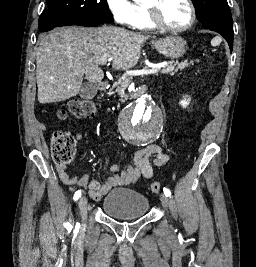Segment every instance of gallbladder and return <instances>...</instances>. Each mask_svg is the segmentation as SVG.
<instances>
[{"label":"gallbladder","instance_id":"bac80fb5","mask_svg":"<svg viewBox=\"0 0 256 267\" xmlns=\"http://www.w3.org/2000/svg\"><path fill=\"white\" fill-rule=\"evenodd\" d=\"M97 94V88L95 84H90V82H86L84 86H81L79 96L83 98V100H86V102H89V100H92L94 96Z\"/></svg>","mask_w":256,"mask_h":267}]
</instances>
